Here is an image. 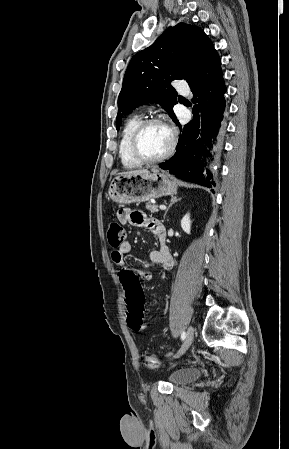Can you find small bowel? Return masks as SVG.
Here are the masks:
<instances>
[{
  "label": "small bowel",
  "mask_w": 289,
  "mask_h": 449,
  "mask_svg": "<svg viewBox=\"0 0 289 449\" xmlns=\"http://www.w3.org/2000/svg\"><path fill=\"white\" fill-rule=\"evenodd\" d=\"M118 217L123 223H128L137 227L148 228L157 238L159 247L148 252V257L153 264L161 266L164 270H171L174 262L166 246V233L164 226L156 219L148 218L142 211L131 209H120ZM135 247L130 242H124L111 253L112 261L121 268H131L126 264L125 255L133 252ZM135 271V275L144 280H151L152 273L147 270Z\"/></svg>",
  "instance_id": "1"
}]
</instances>
